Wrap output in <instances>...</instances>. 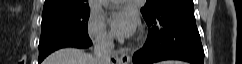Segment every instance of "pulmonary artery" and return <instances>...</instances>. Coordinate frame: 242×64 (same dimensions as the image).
<instances>
[{"label":"pulmonary artery","mask_w":242,"mask_h":64,"mask_svg":"<svg viewBox=\"0 0 242 64\" xmlns=\"http://www.w3.org/2000/svg\"><path fill=\"white\" fill-rule=\"evenodd\" d=\"M111 2L114 4H118V3L125 2V0H111Z\"/></svg>","instance_id":"e3ab8cb5"}]
</instances>
